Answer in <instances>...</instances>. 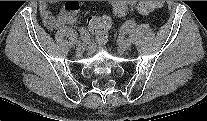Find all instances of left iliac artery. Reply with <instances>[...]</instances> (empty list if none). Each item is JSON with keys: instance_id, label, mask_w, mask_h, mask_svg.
Returning a JSON list of instances; mask_svg holds the SVG:
<instances>
[{"instance_id": "obj_1", "label": "left iliac artery", "mask_w": 207, "mask_h": 121, "mask_svg": "<svg viewBox=\"0 0 207 121\" xmlns=\"http://www.w3.org/2000/svg\"><path fill=\"white\" fill-rule=\"evenodd\" d=\"M132 22L131 21H126L125 24L120 28L119 30V35L120 36H125L127 32H130V28L132 27Z\"/></svg>"}]
</instances>
